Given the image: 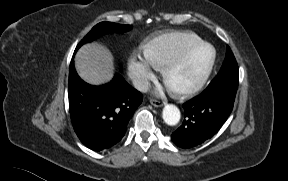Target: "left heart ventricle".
<instances>
[{"instance_id":"left-heart-ventricle-1","label":"left heart ventricle","mask_w":288,"mask_h":181,"mask_svg":"<svg viewBox=\"0 0 288 181\" xmlns=\"http://www.w3.org/2000/svg\"><path fill=\"white\" fill-rule=\"evenodd\" d=\"M211 49L205 48L194 54L170 79L173 85H182L197 79L211 59Z\"/></svg>"}]
</instances>
